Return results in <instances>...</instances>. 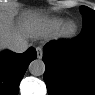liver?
<instances>
[{
  "instance_id": "obj_1",
  "label": "liver",
  "mask_w": 95,
  "mask_h": 95,
  "mask_svg": "<svg viewBox=\"0 0 95 95\" xmlns=\"http://www.w3.org/2000/svg\"><path fill=\"white\" fill-rule=\"evenodd\" d=\"M40 18V14L26 10L22 13L21 21L15 23L14 13L1 12L0 15V49H9L10 44L20 39H28L30 33L26 29V25L33 20Z\"/></svg>"
}]
</instances>
